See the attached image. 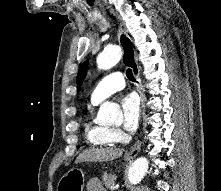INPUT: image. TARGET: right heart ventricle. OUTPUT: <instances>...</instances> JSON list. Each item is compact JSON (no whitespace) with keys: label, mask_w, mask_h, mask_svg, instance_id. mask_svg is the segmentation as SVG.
Returning <instances> with one entry per match:
<instances>
[{"label":"right heart ventricle","mask_w":221,"mask_h":191,"mask_svg":"<svg viewBox=\"0 0 221 191\" xmlns=\"http://www.w3.org/2000/svg\"><path fill=\"white\" fill-rule=\"evenodd\" d=\"M96 104L91 102L87 106L85 116V137L87 142L94 147H107L115 143L112 131L107 126L95 122L92 115L93 107Z\"/></svg>","instance_id":"right-heart-ventricle-1"}]
</instances>
